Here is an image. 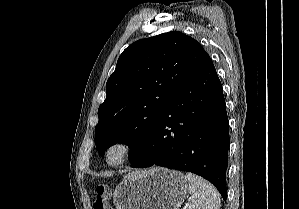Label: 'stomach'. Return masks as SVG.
I'll list each match as a JSON object with an SVG mask.
<instances>
[{
	"mask_svg": "<svg viewBox=\"0 0 299 209\" xmlns=\"http://www.w3.org/2000/svg\"><path fill=\"white\" fill-rule=\"evenodd\" d=\"M183 173L154 167L127 174L113 192L116 209H178L187 197Z\"/></svg>",
	"mask_w": 299,
	"mask_h": 209,
	"instance_id": "1",
	"label": "stomach"
}]
</instances>
